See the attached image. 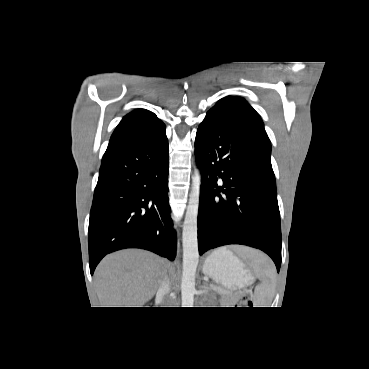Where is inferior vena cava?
Masks as SVG:
<instances>
[{
	"mask_svg": "<svg viewBox=\"0 0 369 369\" xmlns=\"http://www.w3.org/2000/svg\"><path fill=\"white\" fill-rule=\"evenodd\" d=\"M169 292H170V283L168 276H165V278L163 279V281L159 286V293H161L164 296L165 304L168 305L166 307H172L171 305L175 303L174 299L169 296Z\"/></svg>",
	"mask_w": 369,
	"mask_h": 369,
	"instance_id": "1",
	"label": "inferior vena cava"
}]
</instances>
